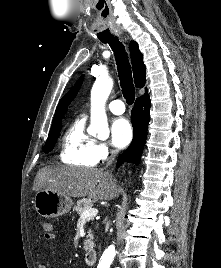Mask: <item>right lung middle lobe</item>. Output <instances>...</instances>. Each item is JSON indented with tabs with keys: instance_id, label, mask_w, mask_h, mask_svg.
<instances>
[{
	"instance_id": "dd1d6c3e",
	"label": "right lung middle lobe",
	"mask_w": 221,
	"mask_h": 268,
	"mask_svg": "<svg viewBox=\"0 0 221 268\" xmlns=\"http://www.w3.org/2000/svg\"><path fill=\"white\" fill-rule=\"evenodd\" d=\"M60 130H61V125L51 127V130H50L49 135H48V139H47L45 146H44V149H43V151L45 153H48L53 149V147L56 143L57 137L59 136Z\"/></svg>"
}]
</instances>
